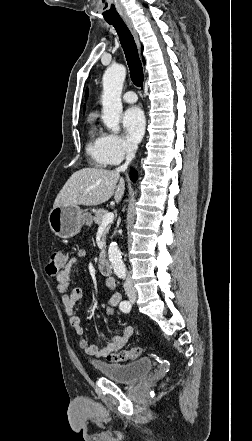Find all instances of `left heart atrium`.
Listing matches in <instances>:
<instances>
[{"mask_svg":"<svg viewBox=\"0 0 252 441\" xmlns=\"http://www.w3.org/2000/svg\"><path fill=\"white\" fill-rule=\"evenodd\" d=\"M122 124L127 140L132 144L139 142L145 129V117L141 109L129 108L122 117Z\"/></svg>","mask_w":252,"mask_h":441,"instance_id":"left-heart-atrium-1","label":"left heart atrium"}]
</instances>
